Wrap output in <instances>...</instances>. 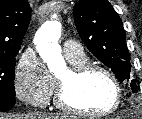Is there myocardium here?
<instances>
[{
	"mask_svg": "<svg viewBox=\"0 0 142 119\" xmlns=\"http://www.w3.org/2000/svg\"><path fill=\"white\" fill-rule=\"evenodd\" d=\"M92 72H100L107 76L112 82L116 96L113 105L107 110L101 112H90L75 105L69 98V90L72 84L78 82L86 75ZM123 99L122 87L117 77L106 67L96 63H83L79 65H72L68 72L67 77L56 80V95L55 104L58 108L76 115L86 117H104L113 114L121 105Z\"/></svg>",
	"mask_w": 142,
	"mask_h": 119,
	"instance_id": "myocardium-1",
	"label": "myocardium"
}]
</instances>
